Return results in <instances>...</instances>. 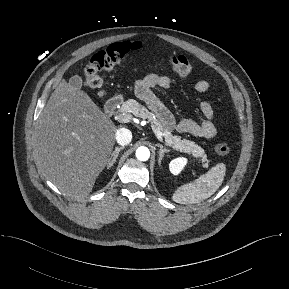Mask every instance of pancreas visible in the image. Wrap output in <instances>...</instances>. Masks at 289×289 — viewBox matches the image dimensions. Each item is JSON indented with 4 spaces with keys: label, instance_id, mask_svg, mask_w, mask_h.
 I'll use <instances>...</instances> for the list:
<instances>
[{
    "label": "pancreas",
    "instance_id": "1",
    "mask_svg": "<svg viewBox=\"0 0 289 289\" xmlns=\"http://www.w3.org/2000/svg\"><path fill=\"white\" fill-rule=\"evenodd\" d=\"M120 112L132 113L142 119H148L162 132L167 146L174 148L177 151L191 154L195 158H200L203 167L208 166L207 156L204 149L198 146L195 142L182 139L179 136L173 135L171 131L166 129L161 122L156 118L155 114L150 112L146 107L139 104L136 100L129 99L122 104Z\"/></svg>",
    "mask_w": 289,
    "mask_h": 289
}]
</instances>
